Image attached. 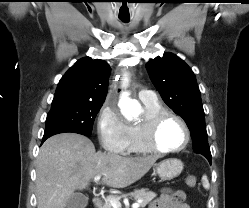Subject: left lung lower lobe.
<instances>
[{
	"label": "left lung lower lobe",
	"mask_w": 249,
	"mask_h": 208,
	"mask_svg": "<svg viewBox=\"0 0 249 208\" xmlns=\"http://www.w3.org/2000/svg\"><path fill=\"white\" fill-rule=\"evenodd\" d=\"M207 159H208V161L211 163V156H205Z\"/></svg>",
	"instance_id": "1"
}]
</instances>
